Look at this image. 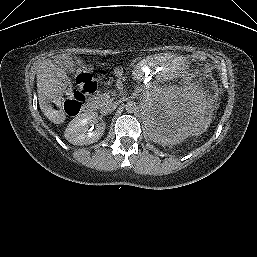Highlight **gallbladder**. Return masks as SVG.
I'll list each match as a JSON object with an SVG mask.
<instances>
[{
    "label": "gallbladder",
    "mask_w": 257,
    "mask_h": 257,
    "mask_svg": "<svg viewBox=\"0 0 257 257\" xmlns=\"http://www.w3.org/2000/svg\"><path fill=\"white\" fill-rule=\"evenodd\" d=\"M54 65L60 71L65 73H73L75 71V63L73 58L70 55L58 56L55 61Z\"/></svg>",
    "instance_id": "gallbladder-1"
}]
</instances>
